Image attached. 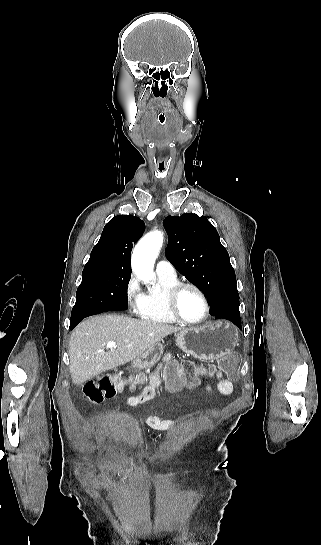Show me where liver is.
Returning a JSON list of instances; mask_svg holds the SVG:
<instances>
[{
    "label": "liver",
    "mask_w": 321,
    "mask_h": 545,
    "mask_svg": "<svg viewBox=\"0 0 321 545\" xmlns=\"http://www.w3.org/2000/svg\"><path fill=\"white\" fill-rule=\"evenodd\" d=\"M182 331L181 327L139 321L123 315H98L82 321L70 337V373L72 383L83 385L92 377L137 359L158 341ZM115 341L116 349H104Z\"/></svg>",
    "instance_id": "obj_1"
}]
</instances>
